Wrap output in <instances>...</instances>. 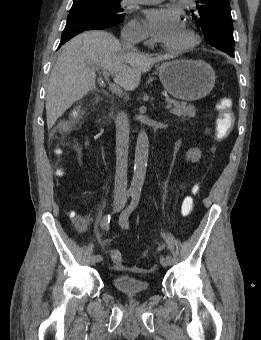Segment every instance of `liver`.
I'll return each instance as SVG.
<instances>
[{"label": "liver", "instance_id": "6515ba94", "mask_svg": "<svg viewBox=\"0 0 261 340\" xmlns=\"http://www.w3.org/2000/svg\"><path fill=\"white\" fill-rule=\"evenodd\" d=\"M167 56L151 57L122 47L119 40L104 31H87L68 41L54 65L46 94L47 127L96 88L95 68L107 69L114 82L127 91L136 89L141 74Z\"/></svg>", "mask_w": 261, "mask_h": 340}]
</instances>
